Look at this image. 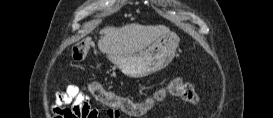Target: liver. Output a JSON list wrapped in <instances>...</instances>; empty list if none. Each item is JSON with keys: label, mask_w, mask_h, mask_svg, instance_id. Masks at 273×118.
<instances>
[{"label": "liver", "mask_w": 273, "mask_h": 118, "mask_svg": "<svg viewBox=\"0 0 273 118\" xmlns=\"http://www.w3.org/2000/svg\"><path fill=\"white\" fill-rule=\"evenodd\" d=\"M102 31L104 35L99 39L98 47L109 56L134 54L170 32L164 25L143 26L136 23L120 28L106 27Z\"/></svg>", "instance_id": "liver-1"}]
</instances>
